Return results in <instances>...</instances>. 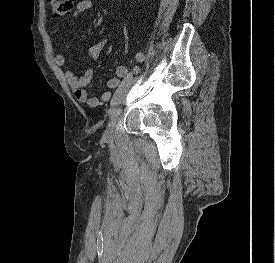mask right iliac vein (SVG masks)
I'll return each mask as SVG.
<instances>
[{
  "label": "right iliac vein",
  "instance_id": "1",
  "mask_svg": "<svg viewBox=\"0 0 275 263\" xmlns=\"http://www.w3.org/2000/svg\"><path fill=\"white\" fill-rule=\"evenodd\" d=\"M136 81V79L132 80L130 84L121 92V94L111 102V108L109 110V123L104 133V140L108 141L111 138L115 119L121 111V106L126 99L128 90Z\"/></svg>",
  "mask_w": 275,
  "mask_h": 263
}]
</instances>
